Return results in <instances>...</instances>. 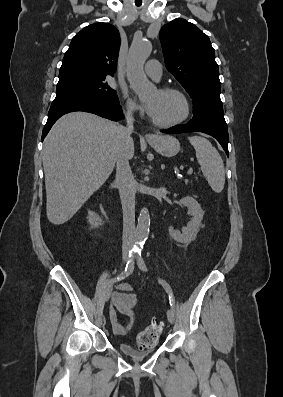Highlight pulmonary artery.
Returning <instances> with one entry per match:
<instances>
[{
    "mask_svg": "<svg viewBox=\"0 0 283 397\" xmlns=\"http://www.w3.org/2000/svg\"><path fill=\"white\" fill-rule=\"evenodd\" d=\"M145 71L147 75L154 79H159L162 75L161 64L155 59H151L146 63Z\"/></svg>",
    "mask_w": 283,
    "mask_h": 397,
    "instance_id": "obj_1",
    "label": "pulmonary artery"
}]
</instances>
